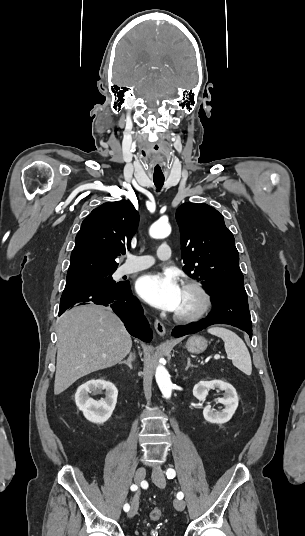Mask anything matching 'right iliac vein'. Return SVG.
Here are the masks:
<instances>
[{"label":"right iliac vein","mask_w":305,"mask_h":536,"mask_svg":"<svg viewBox=\"0 0 305 536\" xmlns=\"http://www.w3.org/2000/svg\"><path fill=\"white\" fill-rule=\"evenodd\" d=\"M145 469L144 468H139L137 469V471L135 472V476H134V480L137 484H139L141 481L144 480L145 478ZM138 494L133 498L132 502H131V508H130V511L128 513V517L129 518H132L136 515L137 513V510H138Z\"/></svg>","instance_id":"1"}]
</instances>
